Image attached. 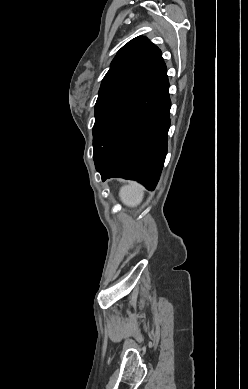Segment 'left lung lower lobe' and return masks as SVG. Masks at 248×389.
<instances>
[{"label":"left lung lower lobe","mask_w":248,"mask_h":389,"mask_svg":"<svg viewBox=\"0 0 248 389\" xmlns=\"http://www.w3.org/2000/svg\"><path fill=\"white\" fill-rule=\"evenodd\" d=\"M169 82L160 56L96 117L93 134L104 140L93 158L102 180L133 179L154 190L167 153Z\"/></svg>","instance_id":"left-lung-lower-lobe-1"}]
</instances>
